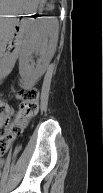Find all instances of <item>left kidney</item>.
I'll return each mask as SVG.
<instances>
[{"mask_svg":"<svg viewBox=\"0 0 103 193\" xmlns=\"http://www.w3.org/2000/svg\"><path fill=\"white\" fill-rule=\"evenodd\" d=\"M58 37V22L52 17L41 19L34 28L31 40L21 50L19 57V73L21 77L32 83L37 81L46 71L53 57L52 47ZM35 54L39 58L36 66L30 63Z\"/></svg>","mask_w":103,"mask_h":193,"instance_id":"left-kidney-1","label":"left kidney"}]
</instances>
